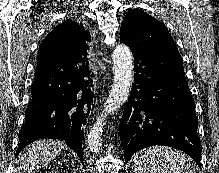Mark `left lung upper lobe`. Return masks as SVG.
I'll return each instance as SVG.
<instances>
[{"instance_id": "obj_1", "label": "left lung upper lobe", "mask_w": 219, "mask_h": 173, "mask_svg": "<svg viewBox=\"0 0 219 173\" xmlns=\"http://www.w3.org/2000/svg\"><path fill=\"white\" fill-rule=\"evenodd\" d=\"M120 40L133 49H148L161 54H179L167 27L139 9L126 13L120 28Z\"/></svg>"}]
</instances>
